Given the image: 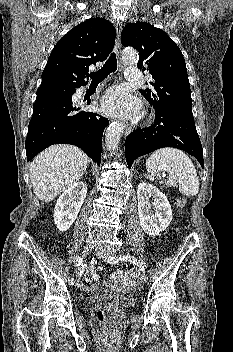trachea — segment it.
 <instances>
[{
	"label": "trachea",
	"mask_w": 233,
	"mask_h": 352,
	"mask_svg": "<svg viewBox=\"0 0 233 352\" xmlns=\"http://www.w3.org/2000/svg\"><path fill=\"white\" fill-rule=\"evenodd\" d=\"M117 70V59L115 53H113L108 60L105 62L103 67L93 73L89 74L91 77L92 82H100L104 80L110 73H114Z\"/></svg>",
	"instance_id": "1"
}]
</instances>
